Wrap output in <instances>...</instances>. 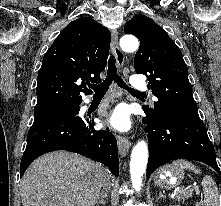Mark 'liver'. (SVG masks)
Returning a JSON list of instances; mask_svg holds the SVG:
<instances>
[{"mask_svg": "<svg viewBox=\"0 0 221 206\" xmlns=\"http://www.w3.org/2000/svg\"><path fill=\"white\" fill-rule=\"evenodd\" d=\"M107 171L103 165L66 151L36 159L20 182L23 206H95Z\"/></svg>", "mask_w": 221, "mask_h": 206, "instance_id": "6515ba94", "label": "liver"}]
</instances>
